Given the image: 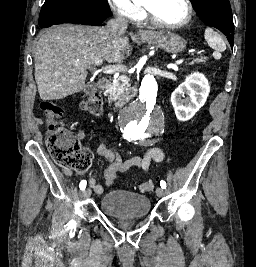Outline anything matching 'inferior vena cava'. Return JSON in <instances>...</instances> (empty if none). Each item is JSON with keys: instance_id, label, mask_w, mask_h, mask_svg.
<instances>
[{"instance_id": "1", "label": "inferior vena cava", "mask_w": 256, "mask_h": 267, "mask_svg": "<svg viewBox=\"0 0 256 267\" xmlns=\"http://www.w3.org/2000/svg\"><path fill=\"white\" fill-rule=\"evenodd\" d=\"M127 26L128 20H126L125 14H123V12H118L115 20H109V22H107L106 28H108L110 32H115V34L121 36V34H125Z\"/></svg>"}]
</instances>
